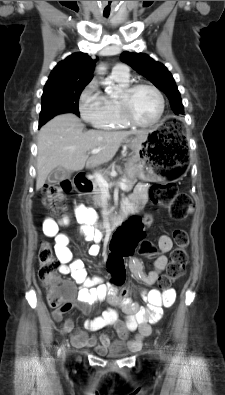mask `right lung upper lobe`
I'll list each match as a JSON object with an SVG mask.
<instances>
[{"instance_id": "right-lung-upper-lobe-1", "label": "right lung upper lobe", "mask_w": 225, "mask_h": 395, "mask_svg": "<svg viewBox=\"0 0 225 395\" xmlns=\"http://www.w3.org/2000/svg\"><path fill=\"white\" fill-rule=\"evenodd\" d=\"M95 63L96 59H92L87 53H74L55 66L45 87L53 85H87L93 77Z\"/></svg>"}]
</instances>
